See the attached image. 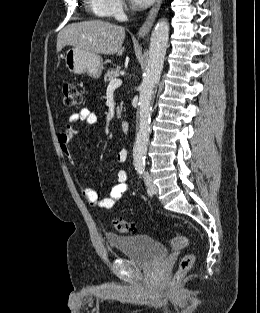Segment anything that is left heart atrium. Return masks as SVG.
<instances>
[{"mask_svg":"<svg viewBox=\"0 0 260 313\" xmlns=\"http://www.w3.org/2000/svg\"><path fill=\"white\" fill-rule=\"evenodd\" d=\"M154 0H131L133 4L140 8H145L149 6Z\"/></svg>","mask_w":260,"mask_h":313,"instance_id":"39dd6f15","label":"left heart atrium"}]
</instances>
